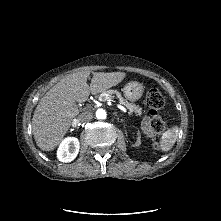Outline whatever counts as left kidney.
<instances>
[{"label": "left kidney", "mask_w": 221, "mask_h": 221, "mask_svg": "<svg viewBox=\"0 0 221 221\" xmlns=\"http://www.w3.org/2000/svg\"><path fill=\"white\" fill-rule=\"evenodd\" d=\"M140 144H141L140 136H138V138H137V142H136L135 146H139Z\"/></svg>", "instance_id": "5707ae66"}]
</instances>
